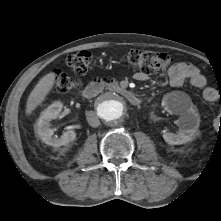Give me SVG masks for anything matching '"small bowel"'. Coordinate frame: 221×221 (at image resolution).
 Listing matches in <instances>:
<instances>
[{
    "label": "small bowel",
    "instance_id": "1",
    "mask_svg": "<svg viewBox=\"0 0 221 221\" xmlns=\"http://www.w3.org/2000/svg\"><path fill=\"white\" fill-rule=\"evenodd\" d=\"M169 83L173 87L181 86L186 80L196 88L203 89V97L209 102H215L220 99V94L211 87H206V79L201 74L200 70L193 64L188 62H176L169 68L168 71ZM138 81L147 80L148 76L141 72L134 75Z\"/></svg>",
    "mask_w": 221,
    "mask_h": 221
}]
</instances>
